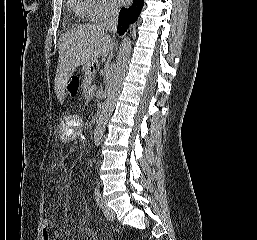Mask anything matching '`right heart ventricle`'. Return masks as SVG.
Returning a JSON list of instances; mask_svg holds the SVG:
<instances>
[{
  "mask_svg": "<svg viewBox=\"0 0 257 240\" xmlns=\"http://www.w3.org/2000/svg\"><path fill=\"white\" fill-rule=\"evenodd\" d=\"M68 9L80 20L90 19V13L93 7L92 0H68Z\"/></svg>",
  "mask_w": 257,
  "mask_h": 240,
  "instance_id": "right-heart-ventricle-1",
  "label": "right heart ventricle"
}]
</instances>
